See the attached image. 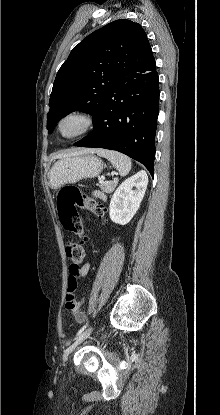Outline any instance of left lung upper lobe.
Here are the masks:
<instances>
[{"label":"left lung upper lobe","instance_id":"left-lung-upper-lobe-1","mask_svg":"<svg viewBox=\"0 0 220 415\" xmlns=\"http://www.w3.org/2000/svg\"><path fill=\"white\" fill-rule=\"evenodd\" d=\"M152 57L147 35L138 23L116 20L91 33L72 49L56 75L48 132L73 111L88 112L94 118L115 81L126 72L139 70Z\"/></svg>","mask_w":220,"mask_h":415}]
</instances>
